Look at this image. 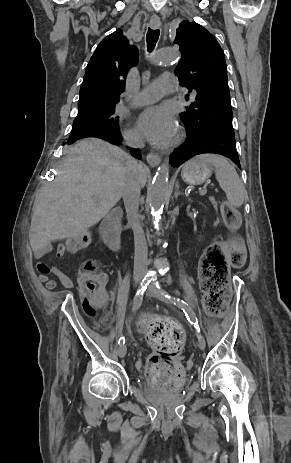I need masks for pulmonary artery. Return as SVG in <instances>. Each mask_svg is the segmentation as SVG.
Returning a JSON list of instances; mask_svg holds the SVG:
<instances>
[{
    "mask_svg": "<svg viewBox=\"0 0 291 463\" xmlns=\"http://www.w3.org/2000/svg\"><path fill=\"white\" fill-rule=\"evenodd\" d=\"M177 87L178 82L175 76L161 75L139 92L133 99L132 104L142 106L154 103L165 95L176 93Z\"/></svg>",
    "mask_w": 291,
    "mask_h": 463,
    "instance_id": "pulmonary-artery-1",
    "label": "pulmonary artery"
}]
</instances>
